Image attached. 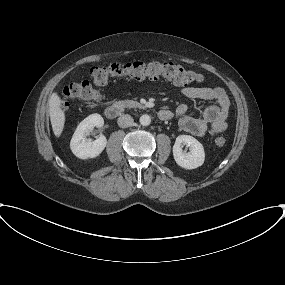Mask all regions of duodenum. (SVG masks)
<instances>
[{"mask_svg": "<svg viewBox=\"0 0 285 285\" xmlns=\"http://www.w3.org/2000/svg\"><path fill=\"white\" fill-rule=\"evenodd\" d=\"M104 113L107 118L115 119L123 113V107L120 104L114 103L106 107ZM171 116V112L167 109H162L158 112V117L161 120H168Z\"/></svg>", "mask_w": 285, "mask_h": 285, "instance_id": "410a0bca", "label": "duodenum"}]
</instances>
